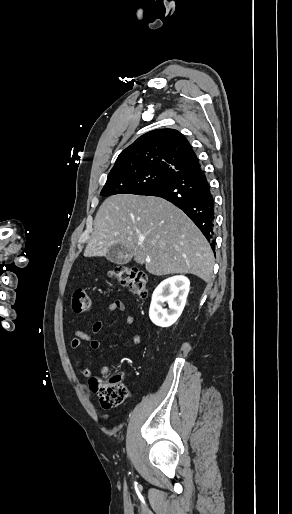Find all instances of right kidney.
<instances>
[{
  "instance_id": "right-kidney-1",
  "label": "right kidney",
  "mask_w": 292,
  "mask_h": 514,
  "mask_svg": "<svg viewBox=\"0 0 292 514\" xmlns=\"http://www.w3.org/2000/svg\"><path fill=\"white\" fill-rule=\"evenodd\" d=\"M190 282L185 276H173L163 280L153 292L149 310L150 320L156 326L169 328L175 324L186 304ZM164 302H167L169 310H165Z\"/></svg>"
}]
</instances>
